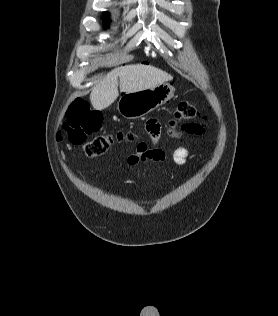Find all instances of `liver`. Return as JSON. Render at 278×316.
I'll return each mask as SVG.
<instances>
[{
  "instance_id": "liver-1",
  "label": "liver",
  "mask_w": 278,
  "mask_h": 316,
  "mask_svg": "<svg viewBox=\"0 0 278 316\" xmlns=\"http://www.w3.org/2000/svg\"><path fill=\"white\" fill-rule=\"evenodd\" d=\"M118 78L120 92L134 93L170 81L173 77L150 65L136 64L115 68L92 90L90 101L94 109H105L116 100L119 96Z\"/></svg>"
}]
</instances>
